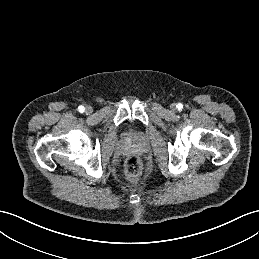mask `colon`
Returning a JSON list of instances; mask_svg holds the SVG:
<instances>
[{
    "label": "colon",
    "mask_w": 259,
    "mask_h": 259,
    "mask_svg": "<svg viewBox=\"0 0 259 259\" xmlns=\"http://www.w3.org/2000/svg\"><path fill=\"white\" fill-rule=\"evenodd\" d=\"M142 172V164L138 157L131 156L125 162V174L128 179L136 180Z\"/></svg>",
    "instance_id": "5ec220e1"
}]
</instances>
